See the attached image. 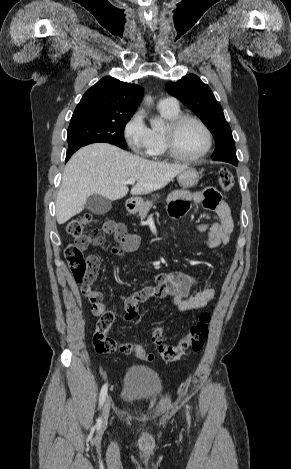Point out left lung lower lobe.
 Masks as SVG:
<instances>
[{"instance_id": "1", "label": "left lung lower lobe", "mask_w": 291, "mask_h": 469, "mask_svg": "<svg viewBox=\"0 0 291 469\" xmlns=\"http://www.w3.org/2000/svg\"><path fill=\"white\" fill-rule=\"evenodd\" d=\"M221 159H225V158H221ZM226 160H228V159H226ZM218 161H222V160H218ZM228 161H230V160H228ZM228 161H226V162H228ZM229 163H231V162H229ZM232 164L237 165L238 163H237V162H233Z\"/></svg>"}]
</instances>
